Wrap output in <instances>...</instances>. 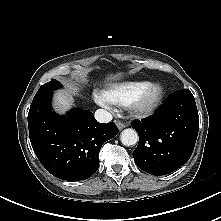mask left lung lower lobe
<instances>
[{
	"instance_id": "obj_1",
	"label": "left lung lower lobe",
	"mask_w": 221,
	"mask_h": 221,
	"mask_svg": "<svg viewBox=\"0 0 221 221\" xmlns=\"http://www.w3.org/2000/svg\"><path fill=\"white\" fill-rule=\"evenodd\" d=\"M132 127L139 134L133 151L137 166L149 174H169L185 164L194 149L199 117L189 89L173 92L155 114Z\"/></svg>"
}]
</instances>
